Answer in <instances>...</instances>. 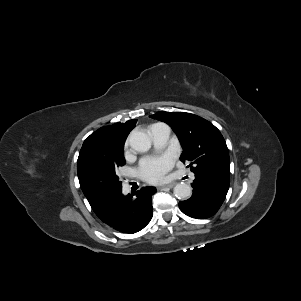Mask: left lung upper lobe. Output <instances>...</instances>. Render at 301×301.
<instances>
[{"label": "left lung upper lobe", "instance_id": "1", "mask_svg": "<svg viewBox=\"0 0 301 301\" xmlns=\"http://www.w3.org/2000/svg\"><path fill=\"white\" fill-rule=\"evenodd\" d=\"M150 117L172 127L183 148L180 160L189 162L188 167L195 174L229 182L228 148L220 131L212 123L186 112L161 111Z\"/></svg>", "mask_w": 301, "mask_h": 301}]
</instances>
